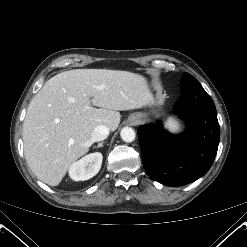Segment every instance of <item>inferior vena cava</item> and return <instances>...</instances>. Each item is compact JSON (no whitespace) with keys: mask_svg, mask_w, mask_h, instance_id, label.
<instances>
[{"mask_svg":"<svg viewBox=\"0 0 247 247\" xmlns=\"http://www.w3.org/2000/svg\"><path fill=\"white\" fill-rule=\"evenodd\" d=\"M109 135V128L106 125H98L94 128L91 140L93 142L103 141Z\"/></svg>","mask_w":247,"mask_h":247,"instance_id":"602c4592","label":"inferior vena cava"}]
</instances>
